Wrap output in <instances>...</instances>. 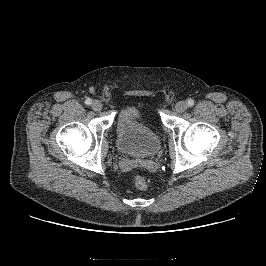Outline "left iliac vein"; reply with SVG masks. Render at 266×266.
I'll use <instances>...</instances> for the list:
<instances>
[{"mask_svg": "<svg viewBox=\"0 0 266 266\" xmlns=\"http://www.w3.org/2000/svg\"><path fill=\"white\" fill-rule=\"evenodd\" d=\"M187 108H188V105H187V103L184 102V101H180V102H178V103L176 104V106H175V110H176L177 112H179V113H182V112L186 111Z\"/></svg>", "mask_w": 266, "mask_h": 266, "instance_id": "1", "label": "left iliac vein"}]
</instances>
